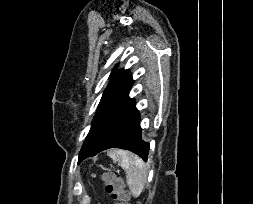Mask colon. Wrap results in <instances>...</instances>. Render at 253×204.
Here are the masks:
<instances>
[{"label":"colon","mask_w":253,"mask_h":204,"mask_svg":"<svg viewBox=\"0 0 253 204\" xmlns=\"http://www.w3.org/2000/svg\"><path fill=\"white\" fill-rule=\"evenodd\" d=\"M100 180L104 182L105 190L114 204H128L129 194L122 178L107 172L100 176Z\"/></svg>","instance_id":"obj_1"}]
</instances>
